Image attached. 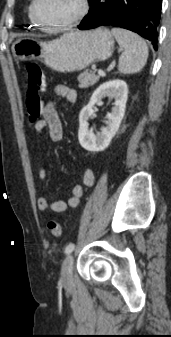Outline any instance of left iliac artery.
<instances>
[{
    "label": "left iliac artery",
    "mask_w": 171,
    "mask_h": 337,
    "mask_svg": "<svg viewBox=\"0 0 171 337\" xmlns=\"http://www.w3.org/2000/svg\"><path fill=\"white\" fill-rule=\"evenodd\" d=\"M75 248V245L73 243H70L65 248V253L70 254Z\"/></svg>",
    "instance_id": "obj_1"
}]
</instances>
